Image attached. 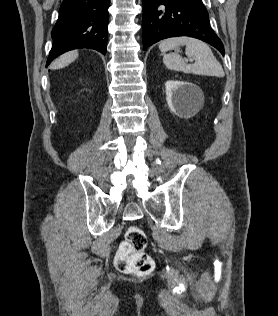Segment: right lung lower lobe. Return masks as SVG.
<instances>
[{"mask_svg": "<svg viewBox=\"0 0 278 316\" xmlns=\"http://www.w3.org/2000/svg\"><path fill=\"white\" fill-rule=\"evenodd\" d=\"M110 0H64L51 36L53 46L46 67L62 53L91 48L107 51Z\"/></svg>", "mask_w": 278, "mask_h": 316, "instance_id": "1", "label": "right lung lower lobe"}]
</instances>
